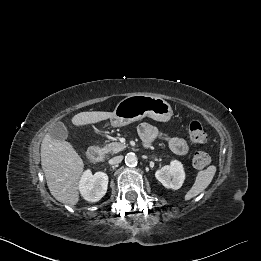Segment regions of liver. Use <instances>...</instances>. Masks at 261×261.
<instances>
[{"label": "liver", "mask_w": 261, "mask_h": 261, "mask_svg": "<svg viewBox=\"0 0 261 261\" xmlns=\"http://www.w3.org/2000/svg\"><path fill=\"white\" fill-rule=\"evenodd\" d=\"M112 112H81L72 118L75 126L98 123L113 117ZM41 166L52 196L64 204L74 206L79 202V180L84 164L66 141L53 139L46 134L41 144Z\"/></svg>", "instance_id": "6515ba94"}]
</instances>
